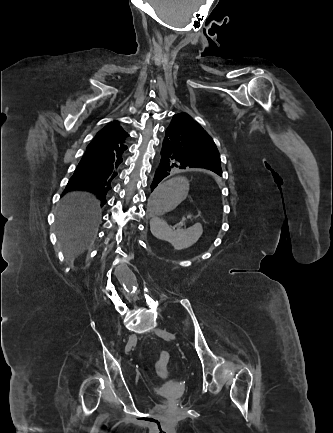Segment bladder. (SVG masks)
<instances>
[{
    "label": "bladder",
    "instance_id": "31cf9c89",
    "mask_svg": "<svg viewBox=\"0 0 333 433\" xmlns=\"http://www.w3.org/2000/svg\"><path fill=\"white\" fill-rule=\"evenodd\" d=\"M177 399H178V397L175 395L166 396V400H168V401H176Z\"/></svg>",
    "mask_w": 333,
    "mask_h": 433
}]
</instances>
